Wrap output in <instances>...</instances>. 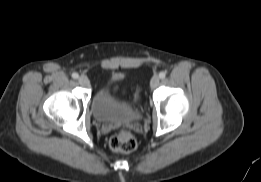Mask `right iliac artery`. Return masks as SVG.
Segmentation results:
<instances>
[{
	"instance_id": "right-iliac-artery-1",
	"label": "right iliac artery",
	"mask_w": 261,
	"mask_h": 182,
	"mask_svg": "<svg viewBox=\"0 0 261 182\" xmlns=\"http://www.w3.org/2000/svg\"><path fill=\"white\" fill-rule=\"evenodd\" d=\"M79 77L78 73H73L72 78L77 79Z\"/></svg>"
}]
</instances>
